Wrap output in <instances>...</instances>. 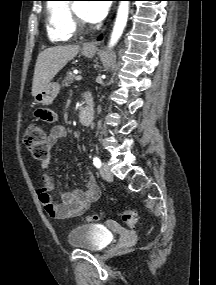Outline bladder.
I'll return each instance as SVG.
<instances>
[{"mask_svg":"<svg viewBox=\"0 0 216 285\" xmlns=\"http://www.w3.org/2000/svg\"><path fill=\"white\" fill-rule=\"evenodd\" d=\"M68 243L75 248L98 252L112 241L111 232L101 225L85 224L74 227L68 233Z\"/></svg>","mask_w":216,"mask_h":285,"instance_id":"31cf9c89","label":"bladder"}]
</instances>
